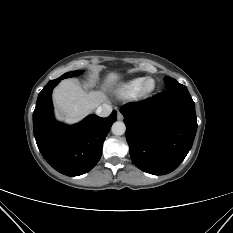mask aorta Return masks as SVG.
Segmentation results:
<instances>
[{
	"label": "aorta",
	"mask_w": 233,
	"mask_h": 233,
	"mask_svg": "<svg viewBox=\"0 0 233 233\" xmlns=\"http://www.w3.org/2000/svg\"><path fill=\"white\" fill-rule=\"evenodd\" d=\"M111 131L116 136L123 135L126 131V126L123 122L117 121L112 125Z\"/></svg>",
	"instance_id": "762f6f07"
}]
</instances>
